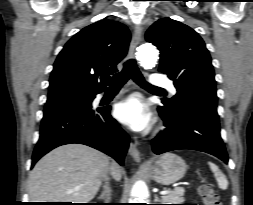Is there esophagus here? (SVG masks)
I'll return each mask as SVG.
<instances>
[{
  "mask_svg": "<svg viewBox=\"0 0 253 205\" xmlns=\"http://www.w3.org/2000/svg\"><path fill=\"white\" fill-rule=\"evenodd\" d=\"M141 39H142V29L139 26H136L134 29V33L132 36L130 49H129V53L131 57L135 56L137 46L141 42ZM129 154L136 162L141 161V153L138 149V141L136 139H133L130 143Z\"/></svg>",
  "mask_w": 253,
  "mask_h": 205,
  "instance_id": "obj_1",
  "label": "esophagus"
}]
</instances>
